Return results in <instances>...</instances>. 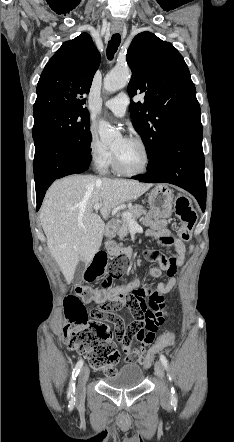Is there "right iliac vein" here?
<instances>
[{
  "instance_id": "1",
  "label": "right iliac vein",
  "mask_w": 234,
  "mask_h": 442,
  "mask_svg": "<svg viewBox=\"0 0 234 442\" xmlns=\"http://www.w3.org/2000/svg\"><path fill=\"white\" fill-rule=\"evenodd\" d=\"M88 377H89V368L87 366H84L80 371L78 379L77 395H76L78 399L82 398L84 395L85 386Z\"/></svg>"
}]
</instances>
